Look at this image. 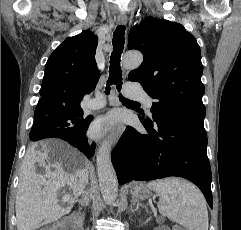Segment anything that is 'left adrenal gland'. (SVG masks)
<instances>
[{
  "label": "left adrenal gland",
  "instance_id": "a2214340",
  "mask_svg": "<svg viewBox=\"0 0 241 230\" xmlns=\"http://www.w3.org/2000/svg\"><path fill=\"white\" fill-rule=\"evenodd\" d=\"M132 204H133V205H136V206H135V209H132V210H131L132 212L135 211V210H137V209L141 206V204L139 203V201H136V200H133V201H132Z\"/></svg>",
  "mask_w": 241,
  "mask_h": 230
}]
</instances>
